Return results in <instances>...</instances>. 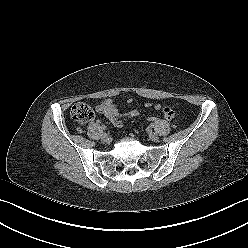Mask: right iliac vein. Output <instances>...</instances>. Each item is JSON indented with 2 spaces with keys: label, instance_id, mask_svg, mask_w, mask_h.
Returning <instances> with one entry per match:
<instances>
[{
  "label": "right iliac vein",
  "instance_id": "obj_1",
  "mask_svg": "<svg viewBox=\"0 0 248 248\" xmlns=\"http://www.w3.org/2000/svg\"><path fill=\"white\" fill-rule=\"evenodd\" d=\"M101 139L105 143H108L111 140L110 136L107 133H103Z\"/></svg>",
  "mask_w": 248,
  "mask_h": 248
}]
</instances>
